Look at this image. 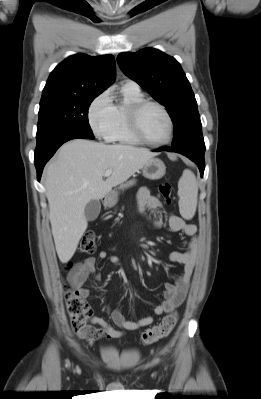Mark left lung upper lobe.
I'll list each match as a JSON object with an SVG mask.
<instances>
[{"mask_svg": "<svg viewBox=\"0 0 261 399\" xmlns=\"http://www.w3.org/2000/svg\"><path fill=\"white\" fill-rule=\"evenodd\" d=\"M117 62L125 75L168 109L174 124L172 147H205L194 93L175 58L145 48L135 53H120Z\"/></svg>", "mask_w": 261, "mask_h": 399, "instance_id": "1", "label": "left lung upper lobe"}]
</instances>
